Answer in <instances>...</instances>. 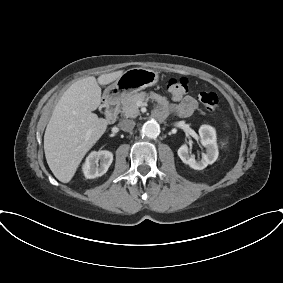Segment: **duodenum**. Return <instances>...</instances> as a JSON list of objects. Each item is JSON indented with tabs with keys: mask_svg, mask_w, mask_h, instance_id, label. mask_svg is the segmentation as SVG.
Segmentation results:
<instances>
[{
	"mask_svg": "<svg viewBox=\"0 0 283 283\" xmlns=\"http://www.w3.org/2000/svg\"><path fill=\"white\" fill-rule=\"evenodd\" d=\"M118 102H119V96L115 94L110 95L105 100V105H106L105 117L106 120L110 123L114 122L118 116Z\"/></svg>",
	"mask_w": 283,
	"mask_h": 283,
	"instance_id": "duodenum-1",
	"label": "duodenum"
}]
</instances>
